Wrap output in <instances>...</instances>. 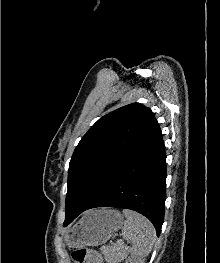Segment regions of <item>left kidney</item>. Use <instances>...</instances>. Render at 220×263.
Here are the masks:
<instances>
[{
    "label": "left kidney",
    "mask_w": 220,
    "mask_h": 263,
    "mask_svg": "<svg viewBox=\"0 0 220 263\" xmlns=\"http://www.w3.org/2000/svg\"><path fill=\"white\" fill-rule=\"evenodd\" d=\"M125 263H145L143 259L141 258H136V257H131L128 258Z\"/></svg>",
    "instance_id": "obj_1"
}]
</instances>
